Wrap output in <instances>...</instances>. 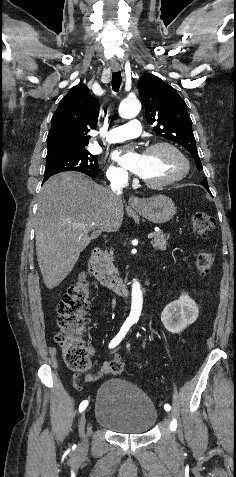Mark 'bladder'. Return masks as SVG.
Segmentation results:
<instances>
[{"label": "bladder", "instance_id": "31cf9c89", "mask_svg": "<svg viewBox=\"0 0 236 477\" xmlns=\"http://www.w3.org/2000/svg\"><path fill=\"white\" fill-rule=\"evenodd\" d=\"M95 419L110 431L143 435L157 423L158 412L149 396L138 386L119 378H109L95 397Z\"/></svg>", "mask_w": 236, "mask_h": 477}]
</instances>
